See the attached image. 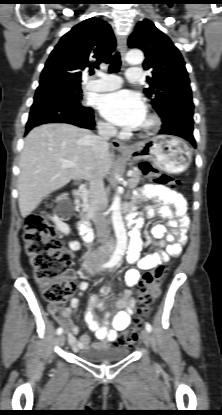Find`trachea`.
<instances>
[{"instance_id": "obj_1", "label": "trachea", "mask_w": 222, "mask_h": 415, "mask_svg": "<svg viewBox=\"0 0 222 415\" xmlns=\"http://www.w3.org/2000/svg\"><path fill=\"white\" fill-rule=\"evenodd\" d=\"M120 66H121L120 54H119V52H116L114 54V56L112 57V59H111L110 66H109V71L110 72H117V71H119Z\"/></svg>"}]
</instances>
